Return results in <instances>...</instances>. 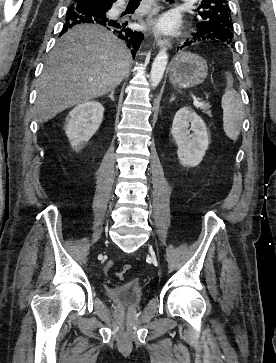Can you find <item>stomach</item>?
Instances as JSON below:
<instances>
[{
  "label": "stomach",
  "instance_id": "1",
  "mask_svg": "<svg viewBox=\"0 0 276 363\" xmlns=\"http://www.w3.org/2000/svg\"><path fill=\"white\" fill-rule=\"evenodd\" d=\"M208 75V65L201 56L190 53H179L171 64L170 82L178 88L196 87L204 82Z\"/></svg>",
  "mask_w": 276,
  "mask_h": 363
}]
</instances>
